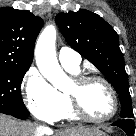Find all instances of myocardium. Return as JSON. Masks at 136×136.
<instances>
[{
    "label": "myocardium",
    "mask_w": 136,
    "mask_h": 136,
    "mask_svg": "<svg viewBox=\"0 0 136 136\" xmlns=\"http://www.w3.org/2000/svg\"><path fill=\"white\" fill-rule=\"evenodd\" d=\"M92 82L102 83L110 92V95L112 97V102H113V109L111 113L107 115L106 117L93 118L85 112L82 106L81 92L84 90V88L87 85H89ZM73 85H74V90L67 91L66 96L70 105V109L76 118L83 120L85 122H89V123L101 124V123L110 121L112 118L115 117L119 109V100H118L116 90L107 79L97 75H79L74 78Z\"/></svg>",
    "instance_id": "myocardium-1"
}]
</instances>
